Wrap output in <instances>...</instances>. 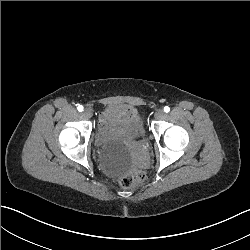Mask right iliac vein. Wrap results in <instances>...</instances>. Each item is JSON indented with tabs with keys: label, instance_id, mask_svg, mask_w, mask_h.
Here are the masks:
<instances>
[{
	"label": "right iliac vein",
	"instance_id": "63e3f726",
	"mask_svg": "<svg viewBox=\"0 0 250 250\" xmlns=\"http://www.w3.org/2000/svg\"><path fill=\"white\" fill-rule=\"evenodd\" d=\"M92 115H93V113H92V111H91L89 108H87V109H85V110L83 111V116H84L85 118H91Z\"/></svg>",
	"mask_w": 250,
	"mask_h": 250
}]
</instances>
